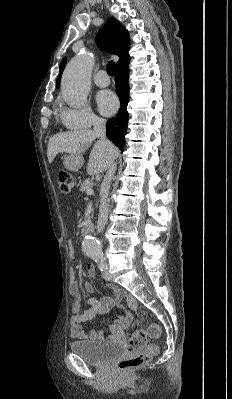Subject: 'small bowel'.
<instances>
[{
	"mask_svg": "<svg viewBox=\"0 0 232 399\" xmlns=\"http://www.w3.org/2000/svg\"><path fill=\"white\" fill-rule=\"evenodd\" d=\"M69 254L70 257H74L76 254V244L74 242H69ZM91 278L95 279L98 276V272L96 269H92L90 273ZM106 288H108L115 296L116 300L121 298H125L127 303L129 304L130 310H136V299L133 294L124 293L121 289L116 288L109 284L105 283ZM69 292L70 299L73 302L78 301L82 293L79 288V279L75 270L71 269L69 273ZM85 294L90 296L87 299V306L83 309L82 312L74 314L70 320L69 334L73 337L78 344L80 345H97L100 344L104 340L114 338L119 332L123 330L129 329L131 325V311L125 310L124 318L117 320L116 322L110 325V331L108 333L103 332H95L92 331L89 335L81 326V323L88 318L94 317L98 314L106 313L112 306L113 302L109 298H104L103 300H97L92 297L94 290L92 288L85 289Z\"/></svg>",
	"mask_w": 232,
	"mask_h": 399,
	"instance_id": "c3829d8e",
	"label": "small bowel"
}]
</instances>
